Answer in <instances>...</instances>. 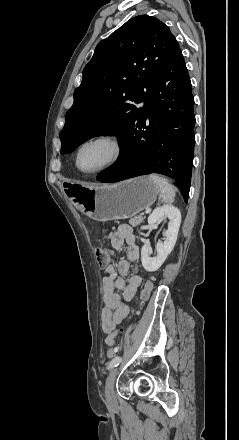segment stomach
<instances>
[{"instance_id": "0dacf381", "label": "stomach", "mask_w": 239, "mask_h": 440, "mask_svg": "<svg viewBox=\"0 0 239 440\" xmlns=\"http://www.w3.org/2000/svg\"><path fill=\"white\" fill-rule=\"evenodd\" d=\"M71 200L85 216L96 222L125 220L154 204L159 186L149 176L131 178L111 186L71 184Z\"/></svg>"}]
</instances>
